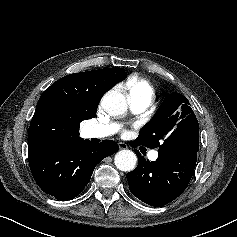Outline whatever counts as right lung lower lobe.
I'll return each instance as SVG.
<instances>
[{
  "mask_svg": "<svg viewBox=\"0 0 237 237\" xmlns=\"http://www.w3.org/2000/svg\"><path fill=\"white\" fill-rule=\"evenodd\" d=\"M118 148L111 140L94 144L77 138L30 152L29 166L45 193L60 201L70 200L83 191L96 165Z\"/></svg>",
  "mask_w": 237,
  "mask_h": 237,
  "instance_id": "1",
  "label": "right lung lower lobe"
}]
</instances>
